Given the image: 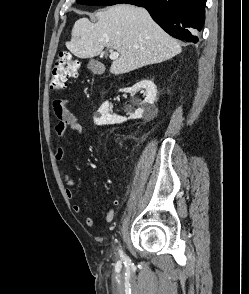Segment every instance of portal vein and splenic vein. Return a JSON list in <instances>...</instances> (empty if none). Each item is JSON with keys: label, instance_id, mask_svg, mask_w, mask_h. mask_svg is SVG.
<instances>
[{"label": "portal vein and splenic vein", "instance_id": "obj_1", "mask_svg": "<svg viewBox=\"0 0 249 294\" xmlns=\"http://www.w3.org/2000/svg\"><path fill=\"white\" fill-rule=\"evenodd\" d=\"M109 57L110 59L115 60L119 57V53L111 49Z\"/></svg>", "mask_w": 249, "mask_h": 294}]
</instances>
